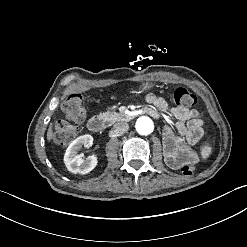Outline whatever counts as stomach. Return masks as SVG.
<instances>
[{
    "instance_id": "1",
    "label": "stomach",
    "mask_w": 247,
    "mask_h": 247,
    "mask_svg": "<svg viewBox=\"0 0 247 247\" xmlns=\"http://www.w3.org/2000/svg\"><path fill=\"white\" fill-rule=\"evenodd\" d=\"M150 87H152L151 84H147V85H146V88H150Z\"/></svg>"
}]
</instances>
